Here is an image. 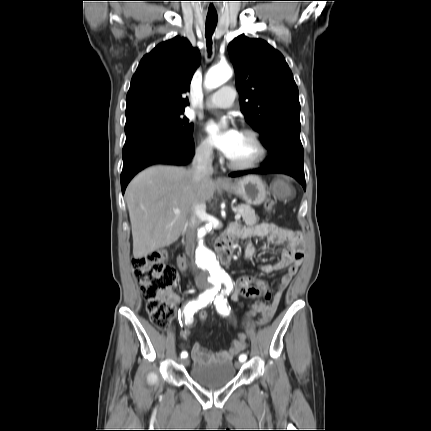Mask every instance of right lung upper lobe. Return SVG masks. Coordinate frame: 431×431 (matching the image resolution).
I'll list each match as a JSON object with an SVG mask.
<instances>
[{
	"mask_svg": "<svg viewBox=\"0 0 431 431\" xmlns=\"http://www.w3.org/2000/svg\"><path fill=\"white\" fill-rule=\"evenodd\" d=\"M188 40L175 37L146 54L132 77L126 97V120L153 112L184 111L185 94L200 63Z\"/></svg>",
	"mask_w": 431,
	"mask_h": 431,
	"instance_id": "right-lung-upper-lobe-1",
	"label": "right lung upper lobe"
}]
</instances>
